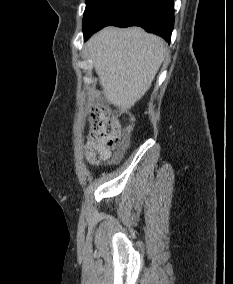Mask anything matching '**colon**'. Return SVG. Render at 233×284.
I'll return each mask as SVG.
<instances>
[{
	"label": "colon",
	"mask_w": 233,
	"mask_h": 284,
	"mask_svg": "<svg viewBox=\"0 0 233 284\" xmlns=\"http://www.w3.org/2000/svg\"><path fill=\"white\" fill-rule=\"evenodd\" d=\"M119 146L118 126L110 113L101 106L95 107L90 116V135L87 142V159L104 162Z\"/></svg>",
	"instance_id": "obj_1"
}]
</instances>
